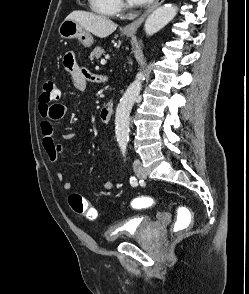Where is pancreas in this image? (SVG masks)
<instances>
[{
    "label": "pancreas",
    "instance_id": "cf45deb5",
    "mask_svg": "<svg viewBox=\"0 0 249 294\" xmlns=\"http://www.w3.org/2000/svg\"><path fill=\"white\" fill-rule=\"evenodd\" d=\"M104 53V49L101 47H96L90 54L89 58L93 61L94 58L99 59L101 55Z\"/></svg>",
    "mask_w": 249,
    "mask_h": 294
}]
</instances>
